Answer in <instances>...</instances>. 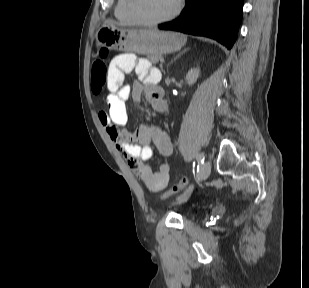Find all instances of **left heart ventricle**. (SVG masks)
Segmentation results:
<instances>
[{"instance_id":"b2bd125f","label":"left heart ventricle","mask_w":309,"mask_h":288,"mask_svg":"<svg viewBox=\"0 0 309 288\" xmlns=\"http://www.w3.org/2000/svg\"><path fill=\"white\" fill-rule=\"evenodd\" d=\"M177 0H137L139 15L148 20L162 18L173 11Z\"/></svg>"}]
</instances>
